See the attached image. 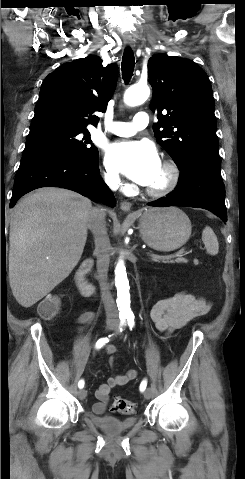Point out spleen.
I'll use <instances>...</instances> for the list:
<instances>
[{"mask_svg":"<svg viewBox=\"0 0 245 479\" xmlns=\"http://www.w3.org/2000/svg\"><path fill=\"white\" fill-rule=\"evenodd\" d=\"M202 241L206 251L210 255H216L219 252V243L211 227L206 226L202 232Z\"/></svg>","mask_w":245,"mask_h":479,"instance_id":"obj_1","label":"spleen"}]
</instances>
